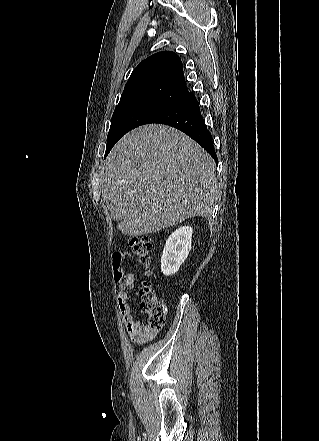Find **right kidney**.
<instances>
[{
    "mask_svg": "<svg viewBox=\"0 0 319 441\" xmlns=\"http://www.w3.org/2000/svg\"><path fill=\"white\" fill-rule=\"evenodd\" d=\"M193 229L182 226L176 229L167 239L161 257V272L165 276L178 272L191 250Z\"/></svg>",
    "mask_w": 319,
    "mask_h": 441,
    "instance_id": "ca27d5eb",
    "label": "right kidney"
}]
</instances>
